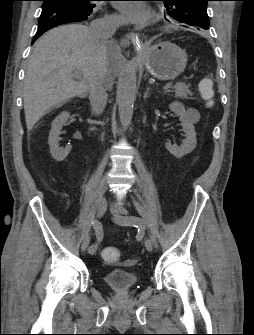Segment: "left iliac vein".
I'll return each mask as SVG.
<instances>
[{"mask_svg":"<svg viewBox=\"0 0 254 335\" xmlns=\"http://www.w3.org/2000/svg\"><path fill=\"white\" fill-rule=\"evenodd\" d=\"M111 213L113 215V221L119 225H124V226H131L132 224L126 220H124V218L128 217L127 212L116 205H111ZM145 243V247L149 252L153 251V244L151 242V240L149 238H145L144 240Z\"/></svg>","mask_w":254,"mask_h":335,"instance_id":"4c4485c4","label":"left iliac vein"}]
</instances>
